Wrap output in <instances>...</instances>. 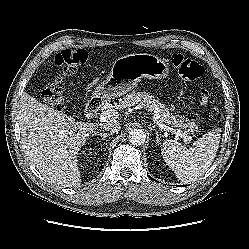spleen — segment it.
<instances>
[{
	"label": "spleen",
	"mask_w": 249,
	"mask_h": 249,
	"mask_svg": "<svg viewBox=\"0 0 249 249\" xmlns=\"http://www.w3.org/2000/svg\"><path fill=\"white\" fill-rule=\"evenodd\" d=\"M220 138L221 129L211 130L189 149L176 140H166L161 146L162 157L180 181L192 182L204 175L214 161Z\"/></svg>",
	"instance_id": "1"
}]
</instances>
